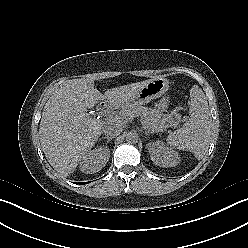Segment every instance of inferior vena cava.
Listing matches in <instances>:
<instances>
[{
	"label": "inferior vena cava",
	"instance_id": "obj_1",
	"mask_svg": "<svg viewBox=\"0 0 248 248\" xmlns=\"http://www.w3.org/2000/svg\"><path fill=\"white\" fill-rule=\"evenodd\" d=\"M122 133V127L119 124H111L104 128V134L107 137H116Z\"/></svg>",
	"mask_w": 248,
	"mask_h": 248
}]
</instances>
